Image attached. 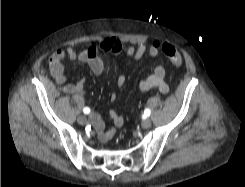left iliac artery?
<instances>
[{
  "instance_id": "obj_1",
  "label": "left iliac artery",
  "mask_w": 245,
  "mask_h": 187,
  "mask_svg": "<svg viewBox=\"0 0 245 187\" xmlns=\"http://www.w3.org/2000/svg\"><path fill=\"white\" fill-rule=\"evenodd\" d=\"M150 113H151V111H150L149 109H145V111H144V115L149 116V115H150Z\"/></svg>"
}]
</instances>
